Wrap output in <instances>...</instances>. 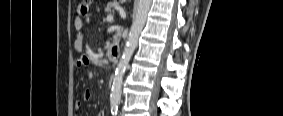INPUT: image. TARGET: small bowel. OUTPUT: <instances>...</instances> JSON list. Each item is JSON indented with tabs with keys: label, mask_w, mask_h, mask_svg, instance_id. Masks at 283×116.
<instances>
[{
	"label": "small bowel",
	"mask_w": 283,
	"mask_h": 116,
	"mask_svg": "<svg viewBox=\"0 0 283 116\" xmlns=\"http://www.w3.org/2000/svg\"><path fill=\"white\" fill-rule=\"evenodd\" d=\"M78 13L83 15L85 13V8L83 5H81L78 9ZM73 26H74V29L76 31V35H75V38H74V41H73V45H74V48L78 51H81L82 50V47H83V27H84V22L82 20L81 17L79 16H76L74 18V21H73ZM90 62H97V58L96 57H88V56H82L81 58H79L76 63H75V66L77 68H81V67H84L86 65H88ZM93 98V92L91 90H85L84 93H83V99L85 101H90L91 99ZM75 108L76 109H80L81 108V103L80 102H77L76 105H75ZM106 113L104 110H101L99 113H98V116H105Z\"/></svg>",
	"instance_id": "c3829d8e"
}]
</instances>
